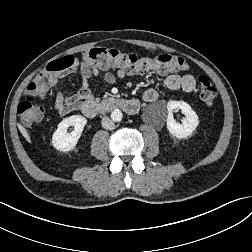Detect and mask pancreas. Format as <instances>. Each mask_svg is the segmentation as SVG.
Returning a JSON list of instances; mask_svg holds the SVG:
<instances>
[{
    "label": "pancreas",
    "mask_w": 252,
    "mask_h": 252,
    "mask_svg": "<svg viewBox=\"0 0 252 252\" xmlns=\"http://www.w3.org/2000/svg\"><path fill=\"white\" fill-rule=\"evenodd\" d=\"M115 101V99L113 97H110V98H107V99H104L100 102V106L101 107H104L110 103H113Z\"/></svg>",
    "instance_id": "pancreas-1"
}]
</instances>
